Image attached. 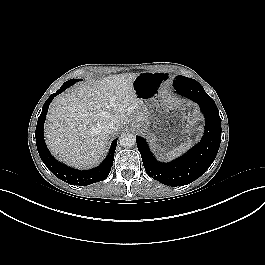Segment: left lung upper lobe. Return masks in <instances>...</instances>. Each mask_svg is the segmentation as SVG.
<instances>
[{
  "instance_id": "left-lung-upper-lobe-1",
  "label": "left lung upper lobe",
  "mask_w": 265,
  "mask_h": 265,
  "mask_svg": "<svg viewBox=\"0 0 265 265\" xmlns=\"http://www.w3.org/2000/svg\"><path fill=\"white\" fill-rule=\"evenodd\" d=\"M176 79H190V78H187V77H184V76H178Z\"/></svg>"
}]
</instances>
